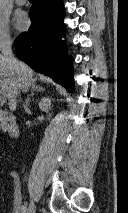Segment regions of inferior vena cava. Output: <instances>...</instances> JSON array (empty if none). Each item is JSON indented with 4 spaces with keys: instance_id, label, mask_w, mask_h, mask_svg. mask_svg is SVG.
<instances>
[{
    "instance_id": "1",
    "label": "inferior vena cava",
    "mask_w": 128,
    "mask_h": 213,
    "mask_svg": "<svg viewBox=\"0 0 128 213\" xmlns=\"http://www.w3.org/2000/svg\"><path fill=\"white\" fill-rule=\"evenodd\" d=\"M11 46H12V40H11V38L10 37H6L4 39L2 45L0 46V48H1L2 54L6 58V60L12 66L17 67L18 66L17 60L14 58ZM15 90H16L15 91V95L17 97L19 95V93H20V85L19 84L16 85V89Z\"/></svg>"
}]
</instances>
